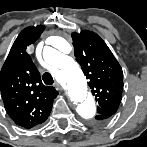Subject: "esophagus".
I'll list each match as a JSON object with an SVG mask.
<instances>
[{"instance_id": "34e87169", "label": "esophagus", "mask_w": 147, "mask_h": 147, "mask_svg": "<svg viewBox=\"0 0 147 147\" xmlns=\"http://www.w3.org/2000/svg\"><path fill=\"white\" fill-rule=\"evenodd\" d=\"M55 87H56L58 90H62V85H61L59 82H56V83H55Z\"/></svg>"}]
</instances>
